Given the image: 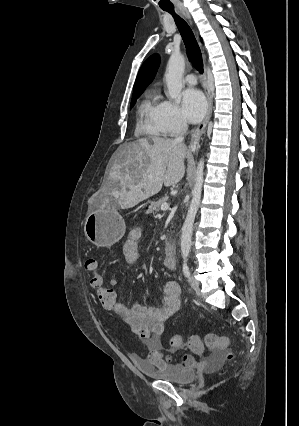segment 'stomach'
I'll return each mask as SVG.
<instances>
[{
  "instance_id": "0dacf381",
  "label": "stomach",
  "mask_w": 299,
  "mask_h": 426,
  "mask_svg": "<svg viewBox=\"0 0 299 426\" xmlns=\"http://www.w3.org/2000/svg\"><path fill=\"white\" fill-rule=\"evenodd\" d=\"M125 221L115 207L103 206L90 212L85 220L87 239L97 247L109 248L125 233Z\"/></svg>"
}]
</instances>
